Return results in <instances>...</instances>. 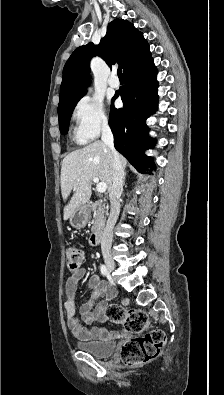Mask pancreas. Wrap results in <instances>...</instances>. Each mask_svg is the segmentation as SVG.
<instances>
[{"instance_id":"cf45deb5","label":"pancreas","mask_w":224,"mask_h":395,"mask_svg":"<svg viewBox=\"0 0 224 395\" xmlns=\"http://www.w3.org/2000/svg\"><path fill=\"white\" fill-rule=\"evenodd\" d=\"M106 216H107V208L102 204L95 203L93 206L94 226L92 230H97L98 228L102 227L105 223Z\"/></svg>"}]
</instances>
